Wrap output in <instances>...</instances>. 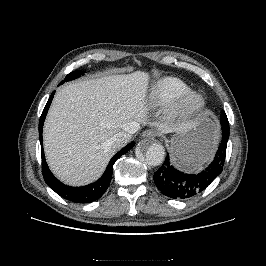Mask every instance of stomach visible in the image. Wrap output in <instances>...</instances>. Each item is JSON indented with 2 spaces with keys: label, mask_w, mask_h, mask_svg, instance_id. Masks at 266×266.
Segmentation results:
<instances>
[{
  "label": "stomach",
  "mask_w": 266,
  "mask_h": 266,
  "mask_svg": "<svg viewBox=\"0 0 266 266\" xmlns=\"http://www.w3.org/2000/svg\"><path fill=\"white\" fill-rule=\"evenodd\" d=\"M218 138L214 121L208 112H204L192 125L172 137V161L183 169L194 170L212 157Z\"/></svg>",
  "instance_id": "1"
}]
</instances>
